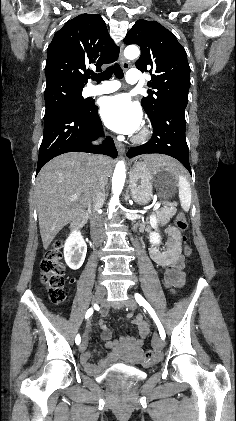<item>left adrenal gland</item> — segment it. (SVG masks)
I'll return each mask as SVG.
<instances>
[{
	"label": "left adrenal gland",
	"instance_id": "left-adrenal-gland-1",
	"mask_svg": "<svg viewBox=\"0 0 236 421\" xmlns=\"http://www.w3.org/2000/svg\"><path fill=\"white\" fill-rule=\"evenodd\" d=\"M128 192H129V190H126L125 200H129V198H130ZM127 204H129V202H127Z\"/></svg>",
	"mask_w": 236,
	"mask_h": 421
}]
</instances>
